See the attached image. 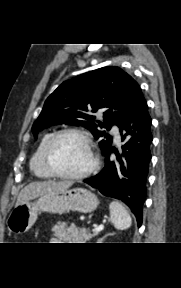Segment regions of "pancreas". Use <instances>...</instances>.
<instances>
[{"mask_svg": "<svg viewBox=\"0 0 181 288\" xmlns=\"http://www.w3.org/2000/svg\"><path fill=\"white\" fill-rule=\"evenodd\" d=\"M54 236L66 243H86L97 233L90 234L85 228H78L76 226L66 227L65 223L58 222L52 228Z\"/></svg>", "mask_w": 181, "mask_h": 288, "instance_id": "obj_1", "label": "pancreas"}]
</instances>
